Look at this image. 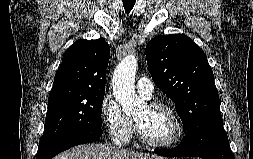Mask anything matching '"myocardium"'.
I'll use <instances>...</instances> for the list:
<instances>
[{"label": "myocardium", "mask_w": 253, "mask_h": 159, "mask_svg": "<svg viewBox=\"0 0 253 159\" xmlns=\"http://www.w3.org/2000/svg\"><path fill=\"white\" fill-rule=\"evenodd\" d=\"M147 106L149 108L166 110L173 117V119L175 121L176 132H175L174 136L167 141H152V140H149L143 134L139 124L137 123L136 120H134L135 130H136L138 140L143 145L149 146V147H154V148H169V147L176 145L182 139V137L184 135V130H185L184 123H183L181 117L179 116L178 112L171 105H169L165 102H161V101L150 102L147 104Z\"/></svg>", "instance_id": "1"}]
</instances>
